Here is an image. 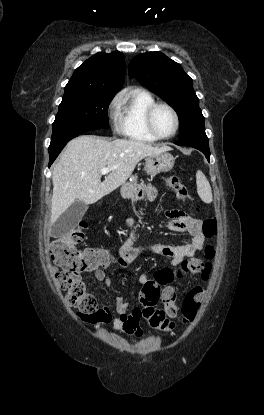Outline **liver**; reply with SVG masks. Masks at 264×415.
I'll return each mask as SVG.
<instances>
[{
  "instance_id": "liver-1",
  "label": "liver",
  "mask_w": 264,
  "mask_h": 415,
  "mask_svg": "<svg viewBox=\"0 0 264 415\" xmlns=\"http://www.w3.org/2000/svg\"><path fill=\"white\" fill-rule=\"evenodd\" d=\"M141 141L105 139L83 135L68 142L54 166L50 223L76 200L94 204L125 184L137 163L145 157L168 151ZM116 167L101 182V169Z\"/></svg>"
}]
</instances>
